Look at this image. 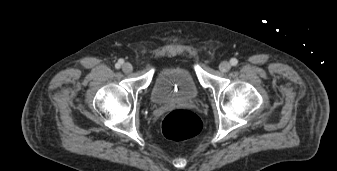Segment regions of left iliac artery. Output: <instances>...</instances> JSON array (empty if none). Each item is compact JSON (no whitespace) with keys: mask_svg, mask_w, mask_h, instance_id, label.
Listing matches in <instances>:
<instances>
[{"mask_svg":"<svg viewBox=\"0 0 337 171\" xmlns=\"http://www.w3.org/2000/svg\"><path fill=\"white\" fill-rule=\"evenodd\" d=\"M230 63H231L232 66H236L238 64V60L236 58H232L230 60Z\"/></svg>","mask_w":337,"mask_h":171,"instance_id":"obj_1","label":"left iliac artery"}]
</instances>
